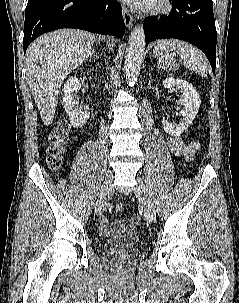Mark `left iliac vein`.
Wrapping results in <instances>:
<instances>
[{
    "label": "left iliac vein",
    "instance_id": "left-iliac-vein-1",
    "mask_svg": "<svg viewBox=\"0 0 239 303\" xmlns=\"http://www.w3.org/2000/svg\"><path fill=\"white\" fill-rule=\"evenodd\" d=\"M134 192L142 201L145 220L149 223L153 222L155 219L154 205L145 184L140 178H137V184L134 188Z\"/></svg>",
    "mask_w": 239,
    "mask_h": 303
}]
</instances>
